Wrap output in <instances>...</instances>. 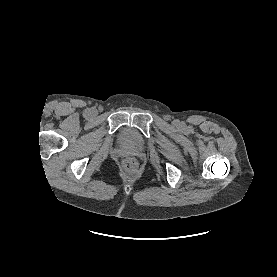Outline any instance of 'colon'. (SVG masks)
<instances>
[{
  "label": "colon",
  "instance_id": "colon-1",
  "mask_svg": "<svg viewBox=\"0 0 277 277\" xmlns=\"http://www.w3.org/2000/svg\"><path fill=\"white\" fill-rule=\"evenodd\" d=\"M123 166L125 167L126 170H128L129 172H133L136 169V162L134 159L132 158H127L125 159V161L123 162Z\"/></svg>",
  "mask_w": 277,
  "mask_h": 277
}]
</instances>
